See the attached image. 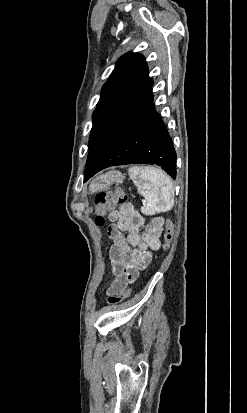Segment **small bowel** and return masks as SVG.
Segmentation results:
<instances>
[{"label": "small bowel", "instance_id": "small-bowel-1", "mask_svg": "<svg viewBox=\"0 0 247 413\" xmlns=\"http://www.w3.org/2000/svg\"><path fill=\"white\" fill-rule=\"evenodd\" d=\"M109 220L115 224L108 229L112 242L109 259L112 273L126 280H114L109 286L107 297L118 299L125 293L129 283L134 282L140 271L146 269L153 261L151 250L161 246L160 234L163 227L161 218L145 224L144 217L130 203H123L109 212ZM126 233V237L124 236Z\"/></svg>", "mask_w": 247, "mask_h": 413}]
</instances>
